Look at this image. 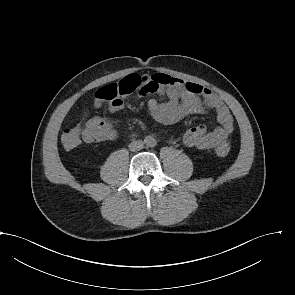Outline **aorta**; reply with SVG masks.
<instances>
[{
  "label": "aorta",
  "mask_w": 295,
  "mask_h": 295,
  "mask_svg": "<svg viewBox=\"0 0 295 295\" xmlns=\"http://www.w3.org/2000/svg\"><path fill=\"white\" fill-rule=\"evenodd\" d=\"M146 143L149 145H152L154 143V139L153 138H146Z\"/></svg>",
  "instance_id": "1"
}]
</instances>
